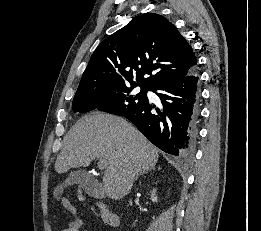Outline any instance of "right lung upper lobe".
<instances>
[{
	"instance_id": "cb5924a9",
	"label": "right lung upper lobe",
	"mask_w": 261,
	"mask_h": 231,
	"mask_svg": "<svg viewBox=\"0 0 261 231\" xmlns=\"http://www.w3.org/2000/svg\"><path fill=\"white\" fill-rule=\"evenodd\" d=\"M196 67L193 50L177 28L162 15L148 13L133 18L97 47L75 96L129 84L151 90ZM145 74L149 76L142 78Z\"/></svg>"
}]
</instances>
